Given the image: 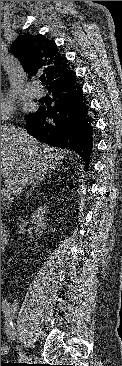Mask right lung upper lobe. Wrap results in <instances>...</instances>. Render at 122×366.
Listing matches in <instances>:
<instances>
[{
    "instance_id": "cb5924a9",
    "label": "right lung upper lobe",
    "mask_w": 122,
    "mask_h": 366,
    "mask_svg": "<svg viewBox=\"0 0 122 366\" xmlns=\"http://www.w3.org/2000/svg\"><path fill=\"white\" fill-rule=\"evenodd\" d=\"M11 52L22 61L23 68L31 75L43 73L48 87L70 80L75 73L70 69L67 59L59 53L56 44L42 34L17 38Z\"/></svg>"
}]
</instances>
